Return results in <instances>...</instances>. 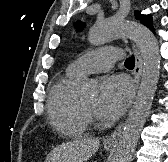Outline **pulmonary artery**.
Instances as JSON below:
<instances>
[{"label":"pulmonary artery","instance_id":"obj_1","mask_svg":"<svg viewBox=\"0 0 168 162\" xmlns=\"http://www.w3.org/2000/svg\"><path fill=\"white\" fill-rule=\"evenodd\" d=\"M122 54V50L116 47L99 48L77 58L69 69L77 75L105 72L113 67Z\"/></svg>","mask_w":168,"mask_h":162}]
</instances>
